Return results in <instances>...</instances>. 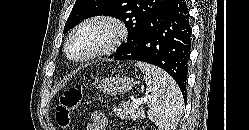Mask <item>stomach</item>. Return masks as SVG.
<instances>
[{"label": "stomach", "instance_id": "1", "mask_svg": "<svg viewBox=\"0 0 249 130\" xmlns=\"http://www.w3.org/2000/svg\"><path fill=\"white\" fill-rule=\"evenodd\" d=\"M135 84L136 81L128 76H111L101 80L98 86L106 94L118 95L128 92Z\"/></svg>", "mask_w": 249, "mask_h": 130}]
</instances>
